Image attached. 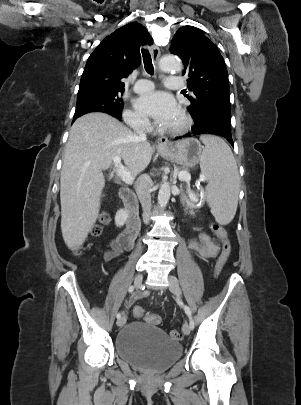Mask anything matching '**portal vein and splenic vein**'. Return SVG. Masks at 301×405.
<instances>
[{"instance_id": "portal-vein-and-splenic-vein-1", "label": "portal vein and splenic vein", "mask_w": 301, "mask_h": 405, "mask_svg": "<svg viewBox=\"0 0 301 405\" xmlns=\"http://www.w3.org/2000/svg\"><path fill=\"white\" fill-rule=\"evenodd\" d=\"M113 162L115 164V171L116 174L128 185H131L133 183L134 177L130 174V172L121 164V157L120 156H115L113 158ZM178 178L181 181H186L189 183L191 176L188 172L186 171H180L178 172ZM203 180V179H202ZM189 197L194 201L197 202L198 198L196 197L195 194L192 192H188Z\"/></svg>"}]
</instances>
